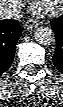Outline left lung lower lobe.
<instances>
[{"label":"left lung lower lobe","instance_id":"obj_1","mask_svg":"<svg viewBox=\"0 0 63 107\" xmlns=\"http://www.w3.org/2000/svg\"><path fill=\"white\" fill-rule=\"evenodd\" d=\"M51 27L56 37V49L53 56V63L55 67L63 73V16L53 19Z\"/></svg>","mask_w":63,"mask_h":107}]
</instances>
